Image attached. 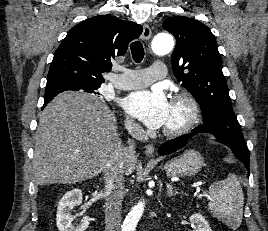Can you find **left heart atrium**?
I'll list each match as a JSON object with an SVG mask.
<instances>
[{
    "label": "left heart atrium",
    "mask_w": 268,
    "mask_h": 231,
    "mask_svg": "<svg viewBox=\"0 0 268 231\" xmlns=\"http://www.w3.org/2000/svg\"><path fill=\"white\" fill-rule=\"evenodd\" d=\"M169 107L168 99L159 87L133 92L124 100L127 113L152 129L165 124Z\"/></svg>",
    "instance_id": "obj_1"
}]
</instances>
